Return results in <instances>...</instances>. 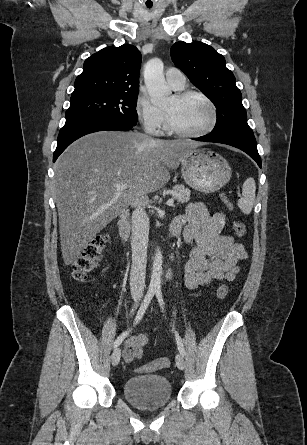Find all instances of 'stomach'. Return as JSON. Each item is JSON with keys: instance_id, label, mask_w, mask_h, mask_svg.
Masks as SVG:
<instances>
[{"instance_id": "obj_1", "label": "stomach", "mask_w": 307, "mask_h": 445, "mask_svg": "<svg viewBox=\"0 0 307 445\" xmlns=\"http://www.w3.org/2000/svg\"><path fill=\"white\" fill-rule=\"evenodd\" d=\"M186 184L200 192H215L229 182L232 174L227 160L209 148H193L181 160Z\"/></svg>"}]
</instances>
